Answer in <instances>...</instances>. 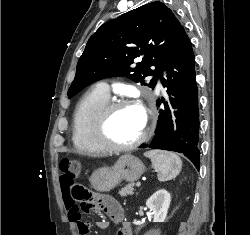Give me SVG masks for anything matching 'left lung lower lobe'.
Instances as JSON below:
<instances>
[{"instance_id":"obj_1","label":"left lung lower lobe","mask_w":250,"mask_h":235,"mask_svg":"<svg viewBox=\"0 0 250 235\" xmlns=\"http://www.w3.org/2000/svg\"><path fill=\"white\" fill-rule=\"evenodd\" d=\"M194 63L191 42L183 28L158 74L169 99H161L165 108L160 110L155 136L143 147L183 153L199 170V107Z\"/></svg>"}]
</instances>
